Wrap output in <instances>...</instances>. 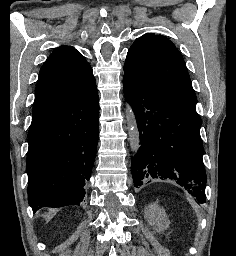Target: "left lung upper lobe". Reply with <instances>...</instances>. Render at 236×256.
Listing matches in <instances>:
<instances>
[{
    "instance_id": "left-lung-upper-lobe-1",
    "label": "left lung upper lobe",
    "mask_w": 236,
    "mask_h": 256,
    "mask_svg": "<svg viewBox=\"0 0 236 256\" xmlns=\"http://www.w3.org/2000/svg\"><path fill=\"white\" fill-rule=\"evenodd\" d=\"M124 76L196 107V96L185 62L174 44L162 35L145 34L130 47Z\"/></svg>"
}]
</instances>
